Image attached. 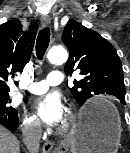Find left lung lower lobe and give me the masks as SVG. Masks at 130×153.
<instances>
[{
	"label": "left lung lower lobe",
	"instance_id": "0a47b994",
	"mask_svg": "<svg viewBox=\"0 0 130 153\" xmlns=\"http://www.w3.org/2000/svg\"><path fill=\"white\" fill-rule=\"evenodd\" d=\"M121 103L125 105V100H121ZM107 112H108V110H106V109L98 110V109L89 108L85 111L84 118H85V120H91L94 117H96L100 114L107 113Z\"/></svg>",
	"mask_w": 130,
	"mask_h": 153
}]
</instances>
